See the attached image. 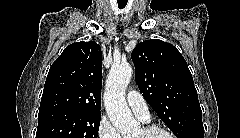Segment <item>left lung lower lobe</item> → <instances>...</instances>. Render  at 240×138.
I'll return each instance as SVG.
<instances>
[{
  "label": "left lung lower lobe",
  "instance_id": "left-lung-lower-lobe-1",
  "mask_svg": "<svg viewBox=\"0 0 240 138\" xmlns=\"http://www.w3.org/2000/svg\"><path fill=\"white\" fill-rule=\"evenodd\" d=\"M204 132H196L189 136V138H203Z\"/></svg>",
  "mask_w": 240,
  "mask_h": 138
}]
</instances>
